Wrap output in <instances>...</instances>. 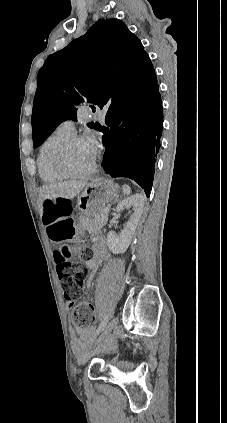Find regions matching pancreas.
I'll return each instance as SVG.
<instances>
[{
	"label": "pancreas",
	"instance_id": "1",
	"mask_svg": "<svg viewBox=\"0 0 227 423\" xmlns=\"http://www.w3.org/2000/svg\"><path fill=\"white\" fill-rule=\"evenodd\" d=\"M105 206H99L95 211V217H87V215H79V227L81 229H88V231H94V229H100L107 221V211H104Z\"/></svg>",
	"mask_w": 227,
	"mask_h": 423
}]
</instances>
